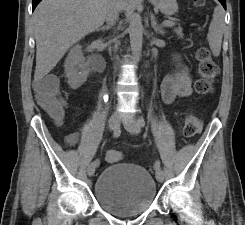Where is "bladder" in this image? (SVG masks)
<instances>
[{"mask_svg":"<svg viewBox=\"0 0 245 225\" xmlns=\"http://www.w3.org/2000/svg\"><path fill=\"white\" fill-rule=\"evenodd\" d=\"M93 196L105 212L130 217L144 213L154 204L157 186L146 168L116 163L99 172Z\"/></svg>","mask_w":245,"mask_h":225,"instance_id":"obj_1","label":"bladder"}]
</instances>
